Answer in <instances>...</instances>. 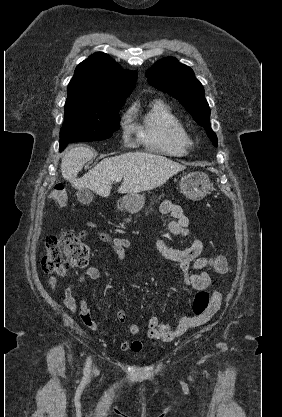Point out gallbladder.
Listing matches in <instances>:
<instances>
[{"label":"gallbladder","mask_w":282,"mask_h":417,"mask_svg":"<svg viewBox=\"0 0 282 417\" xmlns=\"http://www.w3.org/2000/svg\"><path fill=\"white\" fill-rule=\"evenodd\" d=\"M77 198L79 202L87 204V202H91L93 194L89 188H79V190H77Z\"/></svg>","instance_id":"1"}]
</instances>
